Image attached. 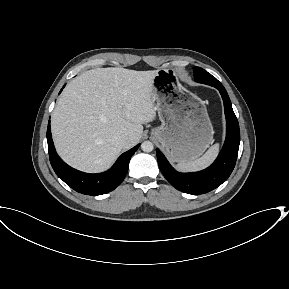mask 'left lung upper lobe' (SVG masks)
<instances>
[{"instance_id": "5c2ea615", "label": "left lung upper lobe", "mask_w": 289, "mask_h": 289, "mask_svg": "<svg viewBox=\"0 0 289 289\" xmlns=\"http://www.w3.org/2000/svg\"><path fill=\"white\" fill-rule=\"evenodd\" d=\"M194 79L196 82L204 83L215 88L223 86L214 76L200 67H194Z\"/></svg>"}]
</instances>
